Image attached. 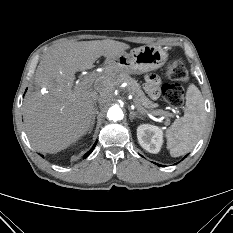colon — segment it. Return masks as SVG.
Returning <instances> with one entry per match:
<instances>
[{
    "label": "colon",
    "instance_id": "5ec220e1",
    "mask_svg": "<svg viewBox=\"0 0 233 233\" xmlns=\"http://www.w3.org/2000/svg\"><path fill=\"white\" fill-rule=\"evenodd\" d=\"M165 74L171 82L162 86V96L170 105L180 106L183 102L184 89L177 82H186L189 78L188 72L181 61H170L166 65Z\"/></svg>",
    "mask_w": 233,
    "mask_h": 233
}]
</instances>
